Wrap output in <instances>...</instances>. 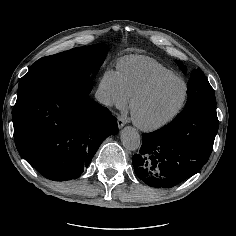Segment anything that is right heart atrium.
Masks as SVG:
<instances>
[{"label": "right heart atrium", "mask_w": 236, "mask_h": 236, "mask_svg": "<svg viewBox=\"0 0 236 236\" xmlns=\"http://www.w3.org/2000/svg\"><path fill=\"white\" fill-rule=\"evenodd\" d=\"M97 96L105 107L117 109H124L130 99L119 72L112 68L104 70L98 85Z\"/></svg>", "instance_id": "right-heart-atrium-1"}]
</instances>
